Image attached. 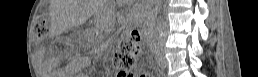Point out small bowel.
Wrapping results in <instances>:
<instances>
[{
	"instance_id": "c3829d8e",
	"label": "small bowel",
	"mask_w": 258,
	"mask_h": 77,
	"mask_svg": "<svg viewBox=\"0 0 258 77\" xmlns=\"http://www.w3.org/2000/svg\"><path fill=\"white\" fill-rule=\"evenodd\" d=\"M40 52H42V53H43L44 51H43V50H40ZM52 63H53V61L51 62V64H52Z\"/></svg>"
}]
</instances>
